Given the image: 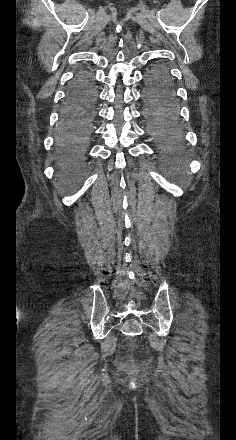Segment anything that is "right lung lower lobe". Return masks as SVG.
I'll use <instances>...</instances> for the list:
<instances>
[{
    "instance_id": "obj_1",
    "label": "right lung lower lobe",
    "mask_w": 236,
    "mask_h": 440,
    "mask_svg": "<svg viewBox=\"0 0 236 440\" xmlns=\"http://www.w3.org/2000/svg\"><path fill=\"white\" fill-rule=\"evenodd\" d=\"M87 83H93V78L89 73H81L75 79L72 87L68 91L66 104L61 114L60 130L76 126L80 121V108L82 106V99L79 98L80 90ZM75 92L76 97L71 98V94Z\"/></svg>"
}]
</instances>
